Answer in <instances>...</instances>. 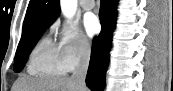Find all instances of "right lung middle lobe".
Returning <instances> with one entry per match:
<instances>
[{
	"instance_id": "right-lung-middle-lobe-1",
	"label": "right lung middle lobe",
	"mask_w": 173,
	"mask_h": 91,
	"mask_svg": "<svg viewBox=\"0 0 173 91\" xmlns=\"http://www.w3.org/2000/svg\"><path fill=\"white\" fill-rule=\"evenodd\" d=\"M49 26L50 25L43 24L29 31L22 32V37L15 55L14 72L18 73L22 70L31 50Z\"/></svg>"
}]
</instances>
